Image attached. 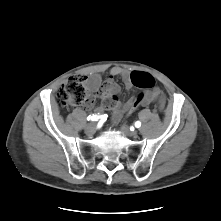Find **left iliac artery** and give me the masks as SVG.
I'll return each mask as SVG.
<instances>
[{
  "mask_svg": "<svg viewBox=\"0 0 221 221\" xmlns=\"http://www.w3.org/2000/svg\"><path fill=\"white\" fill-rule=\"evenodd\" d=\"M140 126H141V122L137 121V122L135 123V127L139 128Z\"/></svg>",
  "mask_w": 221,
  "mask_h": 221,
  "instance_id": "obj_1",
  "label": "left iliac artery"
}]
</instances>
